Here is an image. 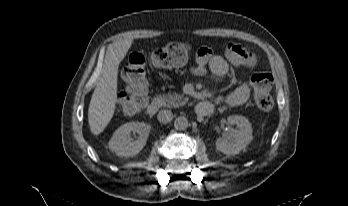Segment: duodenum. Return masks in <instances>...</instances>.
I'll return each instance as SVG.
<instances>
[{"mask_svg": "<svg viewBox=\"0 0 348 206\" xmlns=\"http://www.w3.org/2000/svg\"><path fill=\"white\" fill-rule=\"evenodd\" d=\"M161 106H162V100L155 99L148 106L147 113L149 115H155ZM196 112L200 116H208L213 112V106L208 102H201L198 104L196 108Z\"/></svg>", "mask_w": 348, "mask_h": 206, "instance_id": "410a0bca", "label": "duodenum"}]
</instances>
